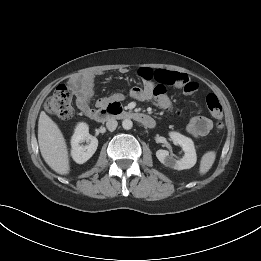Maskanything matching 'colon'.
<instances>
[{
	"label": "colon",
	"instance_id": "1",
	"mask_svg": "<svg viewBox=\"0 0 261 261\" xmlns=\"http://www.w3.org/2000/svg\"><path fill=\"white\" fill-rule=\"evenodd\" d=\"M71 99L72 94L70 89L65 85H59L53 95L47 100L45 109L48 113L55 115L59 119L67 120L73 115ZM206 104L211 116L216 120L217 127L222 128L223 111L217 96L213 93L208 94Z\"/></svg>",
	"mask_w": 261,
	"mask_h": 261
}]
</instances>
